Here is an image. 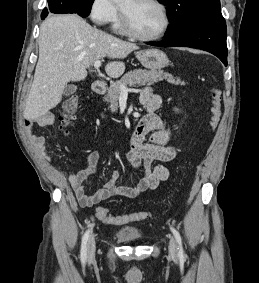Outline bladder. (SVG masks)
Wrapping results in <instances>:
<instances>
[{
    "label": "bladder",
    "instance_id": "bladder-1",
    "mask_svg": "<svg viewBox=\"0 0 259 283\" xmlns=\"http://www.w3.org/2000/svg\"><path fill=\"white\" fill-rule=\"evenodd\" d=\"M116 236L123 242L139 241L143 238L141 228L137 226H122L117 232Z\"/></svg>",
    "mask_w": 259,
    "mask_h": 283
}]
</instances>
